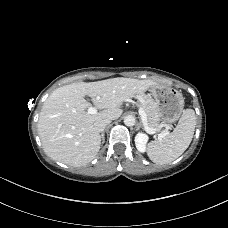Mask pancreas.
Segmentation results:
<instances>
[{
  "label": "pancreas",
  "mask_w": 228,
  "mask_h": 228,
  "mask_svg": "<svg viewBox=\"0 0 228 228\" xmlns=\"http://www.w3.org/2000/svg\"><path fill=\"white\" fill-rule=\"evenodd\" d=\"M141 107L147 115L148 126L152 129L157 130L160 127V116L157 112L156 106L152 100L148 97H144L141 102Z\"/></svg>",
  "instance_id": "cf45deb5"
}]
</instances>
